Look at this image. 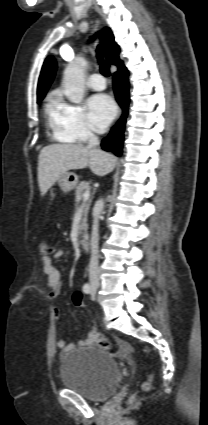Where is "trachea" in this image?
<instances>
[{
    "label": "trachea",
    "mask_w": 208,
    "mask_h": 425,
    "mask_svg": "<svg viewBox=\"0 0 208 425\" xmlns=\"http://www.w3.org/2000/svg\"><path fill=\"white\" fill-rule=\"evenodd\" d=\"M98 62L100 64V71L104 76H110L109 64L103 59L102 48L100 46L96 49Z\"/></svg>",
    "instance_id": "3493384b"
}]
</instances>
